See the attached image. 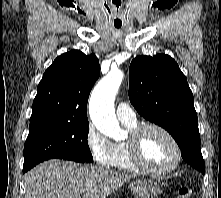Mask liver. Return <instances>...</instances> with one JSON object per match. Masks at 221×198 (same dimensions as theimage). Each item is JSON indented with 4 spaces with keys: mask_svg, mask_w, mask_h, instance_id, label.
<instances>
[{
    "mask_svg": "<svg viewBox=\"0 0 221 198\" xmlns=\"http://www.w3.org/2000/svg\"><path fill=\"white\" fill-rule=\"evenodd\" d=\"M132 176L51 159L25 175V198H106Z\"/></svg>",
    "mask_w": 221,
    "mask_h": 198,
    "instance_id": "1",
    "label": "liver"
}]
</instances>
